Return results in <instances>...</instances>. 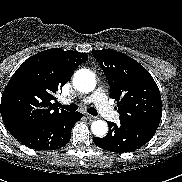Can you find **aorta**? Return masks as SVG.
I'll return each mask as SVG.
<instances>
[{
  "label": "aorta",
  "instance_id": "762f6f07",
  "mask_svg": "<svg viewBox=\"0 0 182 182\" xmlns=\"http://www.w3.org/2000/svg\"><path fill=\"white\" fill-rule=\"evenodd\" d=\"M96 75L89 69L78 70L73 77V86L82 93H90L96 87ZM91 131L97 137H103L107 134L108 125L103 120L93 121Z\"/></svg>",
  "mask_w": 182,
  "mask_h": 182
}]
</instances>
